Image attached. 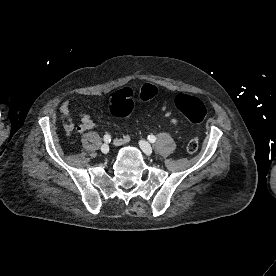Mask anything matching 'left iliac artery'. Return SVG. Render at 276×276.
<instances>
[{
	"label": "left iliac artery",
	"instance_id": "44dca946",
	"mask_svg": "<svg viewBox=\"0 0 276 276\" xmlns=\"http://www.w3.org/2000/svg\"><path fill=\"white\" fill-rule=\"evenodd\" d=\"M148 140L151 142V143H154L156 141V137L154 135H149L148 136Z\"/></svg>",
	"mask_w": 276,
	"mask_h": 276
}]
</instances>
